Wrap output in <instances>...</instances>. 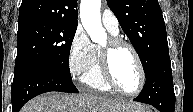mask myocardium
Listing matches in <instances>:
<instances>
[{
    "instance_id": "1",
    "label": "myocardium",
    "mask_w": 193,
    "mask_h": 112,
    "mask_svg": "<svg viewBox=\"0 0 193 112\" xmlns=\"http://www.w3.org/2000/svg\"><path fill=\"white\" fill-rule=\"evenodd\" d=\"M120 47H127L132 52L139 69L140 75L139 86L133 92H127L123 90L116 82L111 70V54L113 53V51H115ZM99 59L103 78L113 90L126 96H137L142 92L146 82L145 70L138 51L130 42L120 37H110L107 41V45L99 48Z\"/></svg>"
}]
</instances>
